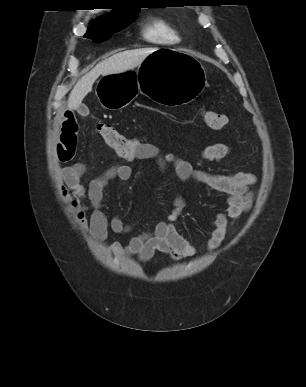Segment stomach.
<instances>
[{
  "instance_id": "1",
  "label": "stomach",
  "mask_w": 306,
  "mask_h": 387,
  "mask_svg": "<svg viewBox=\"0 0 306 387\" xmlns=\"http://www.w3.org/2000/svg\"><path fill=\"white\" fill-rule=\"evenodd\" d=\"M206 83L205 69L197 59L172 46H156L137 67L136 75H104L98 81L97 96L107 109L128 106L137 91H145L147 99L156 100L161 108H184L193 104Z\"/></svg>"
}]
</instances>
